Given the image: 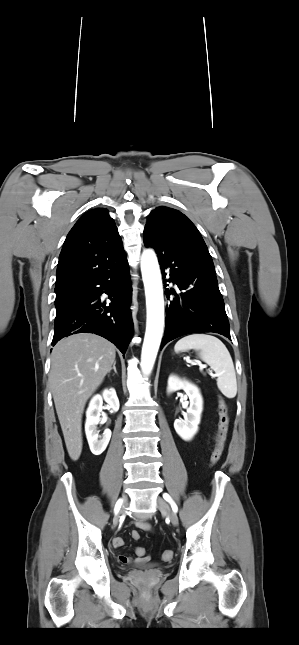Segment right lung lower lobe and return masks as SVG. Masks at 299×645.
Returning a JSON list of instances; mask_svg holds the SVG:
<instances>
[{"mask_svg":"<svg viewBox=\"0 0 299 645\" xmlns=\"http://www.w3.org/2000/svg\"><path fill=\"white\" fill-rule=\"evenodd\" d=\"M102 293L111 295L108 307L100 300ZM131 294L127 258L82 282L76 286L75 294L57 309L52 345L69 335L94 333L125 354L133 331Z\"/></svg>","mask_w":299,"mask_h":645,"instance_id":"obj_1","label":"right lung lower lobe"}]
</instances>
